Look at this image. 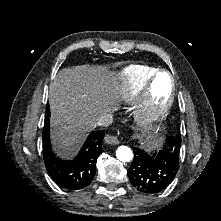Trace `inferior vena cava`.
Instances as JSON below:
<instances>
[{
	"label": "inferior vena cava",
	"mask_w": 221,
	"mask_h": 221,
	"mask_svg": "<svg viewBox=\"0 0 221 221\" xmlns=\"http://www.w3.org/2000/svg\"><path fill=\"white\" fill-rule=\"evenodd\" d=\"M113 122V115L110 113L102 114L96 121L97 126H109Z\"/></svg>",
	"instance_id": "602c4592"
}]
</instances>
